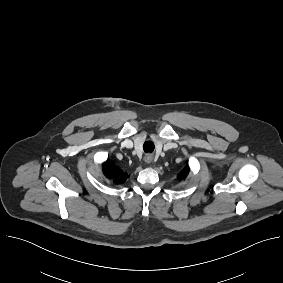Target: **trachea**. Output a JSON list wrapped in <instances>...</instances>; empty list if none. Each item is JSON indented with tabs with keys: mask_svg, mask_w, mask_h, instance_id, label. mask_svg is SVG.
<instances>
[{
	"mask_svg": "<svg viewBox=\"0 0 283 283\" xmlns=\"http://www.w3.org/2000/svg\"><path fill=\"white\" fill-rule=\"evenodd\" d=\"M144 151L147 152H153L154 151V143L152 141H146L143 144Z\"/></svg>",
	"mask_w": 283,
	"mask_h": 283,
	"instance_id": "obj_1",
	"label": "trachea"
}]
</instances>
